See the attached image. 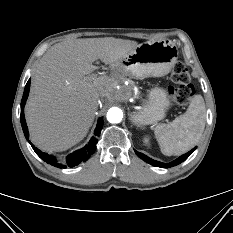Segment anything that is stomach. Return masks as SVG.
I'll list each match as a JSON object with an SVG mask.
<instances>
[{"instance_id":"obj_1","label":"stomach","mask_w":233,"mask_h":233,"mask_svg":"<svg viewBox=\"0 0 233 233\" xmlns=\"http://www.w3.org/2000/svg\"><path fill=\"white\" fill-rule=\"evenodd\" d=\"M177 58L178 50L173 42L148 41L137 45L114 66L132 78L161 77L170 72ZM169 107L167 92L162 88H153L149 90L143 108L131 115V120L139 126L154 124L165 117Z\"/></svg>"}]
</instances>
